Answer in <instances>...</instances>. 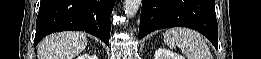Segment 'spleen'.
I'll use <instances>...</instances> for the list:
<instances>
[{
    "instance_id": "spleen-1",
    "label": "spleen",
    "mask_w": 261,
    "mask_h": 59,
    "mask_svg": "<svg viewBox=\"0 0 261 59\" xmlns=\"http://www.w3.org/2000/svg\"><path fill=\"white\" fill-rule=\"evenodd\" d=\"M164 43L170 48L178 46L188 59H212L203 36L188 28H170L164 33Z\"/></svg>"
}]
</instances>
